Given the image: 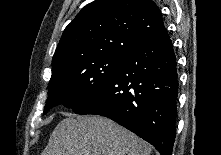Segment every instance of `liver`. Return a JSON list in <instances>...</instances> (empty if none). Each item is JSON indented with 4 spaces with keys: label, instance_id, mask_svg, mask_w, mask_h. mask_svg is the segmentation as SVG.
<instances>
[{
    "label": "liver",
    "instance_id": "1",
    "mask_svg": "<svg viewBox=\"0 0 221 155\" xmlns=\"http://www.w3.org/2000/svg\"><path fill=\"white\" fill-rule=\"evenodd\" d=\"M138 136L100 116L68 117L59 122L41 155H151Z\"/></svg>",
    "mask_w": 221,
    "mask_h": 155
}]
</instances>
